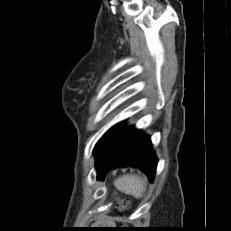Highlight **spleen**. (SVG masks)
<instances>
[{
	"mask_svg": "<svg viewBox=\"0 0 231 231\" xmlns=\"http://www.w3.org/2000/svg\"><path fill=\"white\" fill-rule=\"evenodd\" d=\"M114 185L119 191L135 198H141L145 190L143 180L136 175L122 176L115 180Z\"/></svg>",
	"mask_w": 231,
	"mask_h": 231,
	"instance_id": "1",
	"label": "spleen"
}]
</instances>
